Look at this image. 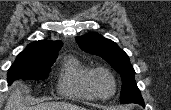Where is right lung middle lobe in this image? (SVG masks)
Segmentation results:
<instances>
[{
	"instance_id": "obj_1",
	"label": "right lung middle lobe",
	"mask_w": 171,
	"mask_h": 110,
	"mask_svg": "<svg viewBox=\"0 0 171 110\" xmlns=\"http://www.w3.org/2000/svg\"><path fill=\"white\" fill-rule=\"evenodd\" d=\"M57 56L28 57L18 55L13 65L8 70L7 81L10 85L17 79L44 80L48 77L51 66Z\"/></svg>"
}]
</instances>
